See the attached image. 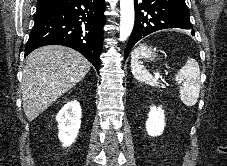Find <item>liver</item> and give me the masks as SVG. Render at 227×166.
I'll return each instance as SVG.
<instances>
[{"instance_id":"liver-1","label":"liver","mask_w":227,"mask_h":166,"mask_svg":"<svg viewBox=\"0 0 227 166\" xmlns=\"http://www.w3.org/2000/svg\"><path fill=\"white\" fill-rule=\"evenodd\" d=\"M90 67L83 55L65 46L48 45L34 50L26 59L21 83L27 120L33 121L78 84Z\"/></svg>"}]
</instances>
